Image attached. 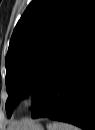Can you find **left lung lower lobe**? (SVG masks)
Masks as SVG:
<instances>
[{
	"label": "left lung lower lobe",
	"instance_id": "obj_1",
	"mask_svg": "<svg viewBox=\"0 0 95 130\" xmlns=\"http://www.w3.org/2000/svg\"><path fill=\"white\" fill-rule=\"evenodd\" d=\"M47 117L95 129V14L51 72L32 118Z\"/></svg>",
	"mask_w": 95,
	"mask_h": 130
}]
</instances>
